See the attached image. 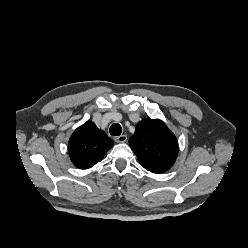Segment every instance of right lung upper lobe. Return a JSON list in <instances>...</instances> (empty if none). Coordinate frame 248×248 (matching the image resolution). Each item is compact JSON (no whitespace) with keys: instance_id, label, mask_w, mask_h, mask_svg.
Wrapping results in <instances>:
<instances>
[{"instance_id":"obj_1","label":"right lung upper lobe","mask_w":248,"mask_h":248,"mask_svg":"<svg viewBox=\"0 0 248 248\" xmlns=\"http://www.w3.org/2000/svg\"><path fill=\"white\" fill-rule=\"evenodd\" d=\"M113 146V141L93 122L78 127L68 143V152L73 164L79 169H88L100 162Z\"/></svg>"}]
</instances>
